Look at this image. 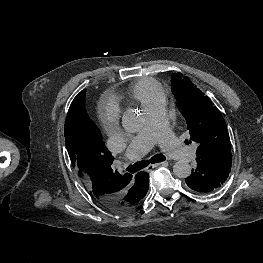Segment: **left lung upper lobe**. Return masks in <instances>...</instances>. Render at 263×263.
<instances>
[{
	"label": "left lung upper lobe",
	"instance_id": "obj_1",
	"mask_svg": "<svg viewBox=\"0 0 263 263\" xmlns=\"http://www.w3.org/2000/svg\"><path fill=\"white\" fill-rule=\"evenodd\" d=\"M171 82L177 107L186 120L191 140L199 145L197 157L231 151L226 123L212 101L180 73L172 74Z\"/></svg>",
	"mask_w": 263,
	"mask_h": 263
}]
</instances>
